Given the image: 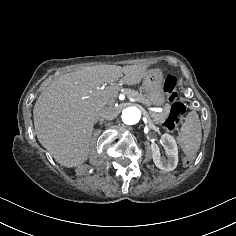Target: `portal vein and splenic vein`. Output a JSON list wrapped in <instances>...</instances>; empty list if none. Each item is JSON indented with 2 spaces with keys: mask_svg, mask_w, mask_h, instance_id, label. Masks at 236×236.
Instances as JSON below:
<instances>
[{
  "mask_svg": "<svg viewBox=\"0 0 236 236\" xmlns=\"http://www.w3.org/2000/svg\"><path fill=\"white\" fill-rule=\"evenodd\" d=\"M151 111L157 112V111H156V108H154V107H151Z\"/></svg>",
  "mask_w": 236,
  "mask_h": 236,
  "instance_id": "18ae733b",
  "label": "portal vein and splenic vein"
}]
</instances>
